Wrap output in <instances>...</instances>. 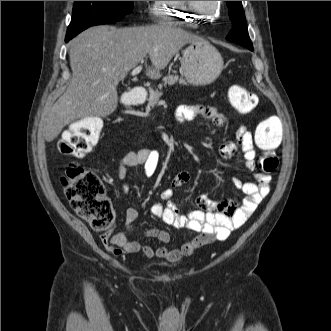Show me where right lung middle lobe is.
I'll return each mask as SVG.
<instances>
[{"label":"right lung middle lobe","mask_w":331,"mask_h":331,"mask_svg":"<svg viewBox=\"0 0 331 331\" xmlns=\"http://www.w3.org/2000/svg\"><path fill=\"white\" fill-rule=\"evenodd\" d=\"M132 9L133 1H75L66 37L73 38L90 26L117 22Z\"/></svg>","instance_id":"1"}]
</instances>
